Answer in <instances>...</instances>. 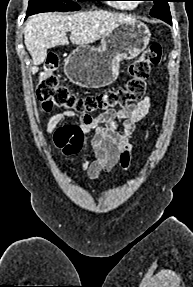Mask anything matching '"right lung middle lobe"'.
<instances>
[{"mask_svg":"<svg viewBox=\"0 0 193 287\" xmlns=\"http://www.w3.org/2000/svg\"><path fill=\"white\" fill-rule=\"evenodd\" d=\"M97 1V0H77ZM80 6L72 0H29L27 15L52 11H77Z\"/></svg>","mask_w":193,"mask_h":287,"instance_id":"dd1d6c3e","label":"right lung middle lobe"}]
</instances>
